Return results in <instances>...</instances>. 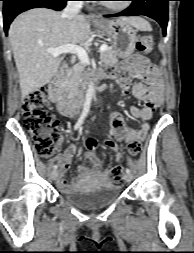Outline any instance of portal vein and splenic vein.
<instances>
[{
  "instance_id": "18ae733b",
  "label": "portal vein and splenic vein",
  "mask_w": 194,
  "mask_h": 253,
  "mask_svg": "<svg viewBox=\"0 0 194 253\" xmlns=\"http://www.w3.org/2000/svg\"><path fill=\"white\" fill-rule=\"evenodd\" d=\"M107 49H108V46L103 44L99 48V52H104ZM47 52L52 54L54 57H57L61 54H65V53L76 54L82 63H85V64L90 63L88 54L85 51V49H83L80 46L74 45V44H66V45H63V46H60L57 48H49V49H47Z\"/></svg>"
}]
</instances>
